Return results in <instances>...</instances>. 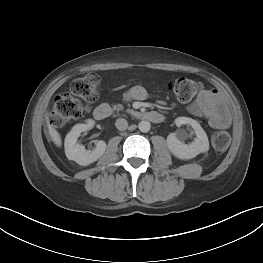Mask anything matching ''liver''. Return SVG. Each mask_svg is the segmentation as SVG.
I'll list each match as a JSON object with an SVG mask.
<instances>
[{
    "label": "liver",
    "instance_id": "6515ba94",
    "mask_svg": "<svg viewBox=\"0 0 263 263\" xmlns=\"http://www.w3.org/2000/svg\"><path fill=\"white\" fill-rule=\"evenodd\" d=\"M49 135L57 147L61 146L62 140L59 132L54 129L50 124H47Z\"/></svg>",
    "mask_w": 263,
    "mask_h": 263
}]
</instances>
